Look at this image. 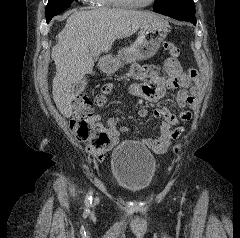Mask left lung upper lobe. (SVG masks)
Returning a JSON list of instances; mask_svg holds the SVG:
<instances>
[{"mask_svg": "<svg viewBox=\"0 0 240 238\" xmlns=\"http://www.w3.org/2000/svg\"><path fill=\"white\" fill-rule=\"evenodd\" d=\"M154 10H176L195 14V6L193 0H155Z\"/></svg>", "mask_w": 240, "mask_h": 238, "instance_id": "obj_1", "label": "left lung upper lobe"}]
</instances>
